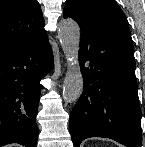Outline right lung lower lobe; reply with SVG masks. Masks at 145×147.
<instances>
[{
	"instance_id": "1",
	"label": "right lung lower lobe",
	"mask_w": 145,
	"mask_h": 147,
	"mask_svg": "<svg viewBox=\"0 0 145 147\" xmlns=\"http://www.w3.org/2000/svg\"><path fill=\"white\" fill-rule=\"evenodd\" d=\"M52 66L47 34L0 55V146L36 147L39 81Z\"/></svg>"
}]
</instances>
